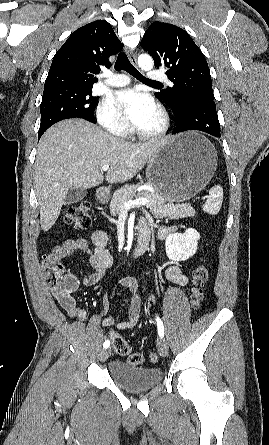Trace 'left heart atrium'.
I'll list each match as a JSON object with an SVG mask.
<instances>
[{
    "label": "left heart atrium",
    "instance_id": "left-heart-atrium-1",
    "mask_svg": "<svg viewBox=\"0 0 269 445\" xmlns=\"http://www.w3.org/2000/svg\"><path fill=\"white\" fill-rule=\"evenodd\" d=\"M117 101L133 125L139 127L157 111L154 100L139 89L132 88L117 93Z\"/></svg>",
    "mask_w": 269,
    "mask_h": 445
}]
</instances>
